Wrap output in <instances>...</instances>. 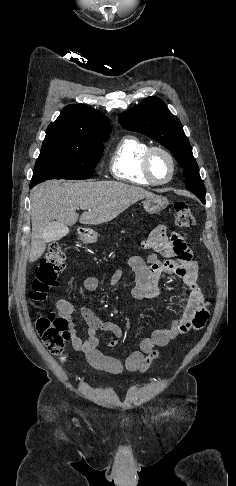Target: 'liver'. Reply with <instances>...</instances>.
<instances>
[{
	"instance_id": "obj_1",
	"label": "liver",
	"mask_w": 236,
	"mask_h": 486,
	"mask_svg": "<svg viewBox=\"0 0 236 486\" xmlns=\"http://www.w3.org/2000/svg\"><path fill=\"white\" fill-rule=\"evenodd\" d=\"M154 194L140 187L114 181L50 180L31 191V250L29 262L37 261L49 242L52 220L72 226L99 225L116 218L137 201ZM88 210L79 215L77 209Z\"/></svg>"
}]
</instances>
